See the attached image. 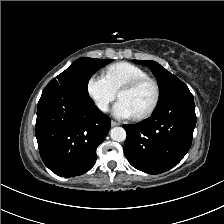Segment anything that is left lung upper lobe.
Returning a JSON list of instances; mask_svg holds the SVG:
<instances>
[{
	"mask_svg": "<svg viewBox=\"0 0 224 224\" xmlns=\"http://www.w3.org/2000/svg\"><path fill=\"white\" fill-rule=\"evenodd\" d=\"M135 63L151 68L153 74L158 79L161 88L160 100L157 107H161L181 94L191 93L186 84L171 74L155 61L134 60Z\"/></svg>",
	"mask_w": 224,
	"mask_h": 224,
	"instance_id": "1",
	"label": "left lung upper lobe"
}]
</instances>
